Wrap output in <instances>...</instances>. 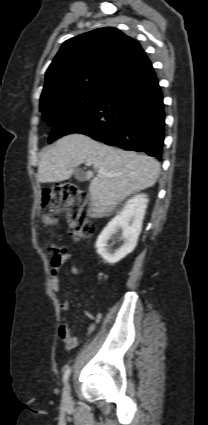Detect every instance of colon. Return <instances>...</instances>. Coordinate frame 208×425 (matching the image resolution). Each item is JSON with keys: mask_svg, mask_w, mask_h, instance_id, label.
<instances>
[{"mask_svg": "<svg viewBox=\"0 0 208 425\" xmlns=\"http://www.w3.org/2000/svg\"><path fill=\"white\" fill-rule=\"evenodd\" d=\"M87 193L71 182L56 183L43 193L41 208L42 221L45 225H54L62 206H67V224L71 237L75 240L89 238L94 233L93 224L84 215ZM53 256L52 264L58 266L62 260L63 249L55 244L46 246Z\"/></svg>", "mask_w": 208, "mask_h": 425, "instance_id": "5ec220e1", "label": "colon"}]
</instances>
